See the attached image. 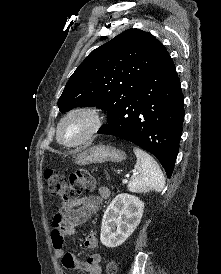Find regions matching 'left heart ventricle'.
I'll return each mask as SVG.
<instances>
[{"instance_id":"obj_1","label":"left heart ventricle","mask_w":221,"mask_h":274,"mask_svg":"<svg viewBox=\"0 0 221 274\" xmlns=\"http://www.w3.org/2000/svg\"><path fill=\"white\" fill-rule=\"evenodd\" d=\"M87 123L81 118L69 120L63 127L62 139L68 142L76 140L86 130Z\"/></svg>"}]
</instances>
